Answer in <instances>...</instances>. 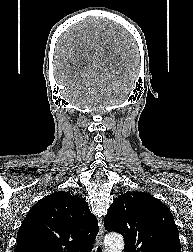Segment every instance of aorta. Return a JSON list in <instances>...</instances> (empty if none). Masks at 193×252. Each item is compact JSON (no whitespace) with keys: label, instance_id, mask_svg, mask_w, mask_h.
<instances>
[{"label":"aorta","instance_id":"1","mask_svg":"<svg viewBox=\"0 0 193 252\" xmlns=\"http://www.w3.org/2000/svg\"><path fill=\"white\" fill-rule=\"evenodd\" d=\"M108 252H123L124 239L119 234H109L104 240Z\"/></svg>","mask_w":193,"mask_h":252}]
</instances>
